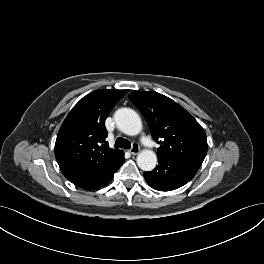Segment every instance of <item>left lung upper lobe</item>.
Here are the masks:
<instances>
[{
  "label": "left lung upper lobe",
  "mask_w": 264,
  "mask_h": 264,
  "mask_svg": "<svg viewBox=\"0 0 264 264\" xmlns=\"http://www.w3.org/2000/svg\"><path fill=\"white\" fill-rule=\"evenodd\" d=\"M129 98L145 117L153 139L160 144L158 157L199 169L207 153V139L200 124L175 101L157 92L135 91Z\"/></svg>",
  "instance_id": "5c2ea615"
}]
</instances>
